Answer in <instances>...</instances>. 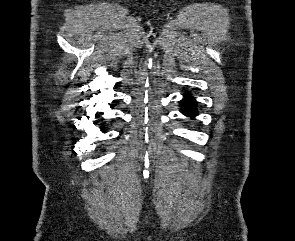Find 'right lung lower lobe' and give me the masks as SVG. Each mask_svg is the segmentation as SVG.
Listing matches in <instances>:
<instances>
[{
    "label": "right lung lower lobe",
    "mask_w": 295,
    "mask_h": 241,
    "mask_svg": "<svg viewBox=\"0 0 295 241\" xmlns=\"http://www.w3.org/2000/svg\"><path fill=\"white\" fill-rule=\"evenodd\" d=\"M99 116V114H96V117H98ZM101 130H102V128H101Z\"/></svg>",
    "instance_id": "98d812e1"
}]
</instances>
